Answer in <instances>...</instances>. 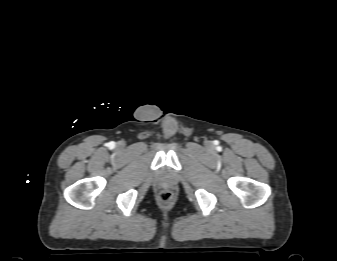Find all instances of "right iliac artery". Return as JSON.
I'll return each instance as SVG.
<instances>
[{
    "label": "right iliac artery",
    "mask_w": 337,
    "mask_h": 261,
    "mask_svg": "<svg viewBox=\"0 0 337 261\" xmlns=\"http://www.w3.org/2000/svg\"><path fill=\"white\" fill-rule=\"evenodd\" d=\"M109 147H110V148L115 147V142H110V143H109Z\"/></svg>",
    "instance_id": "obj_1"
}]
</instances>
